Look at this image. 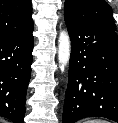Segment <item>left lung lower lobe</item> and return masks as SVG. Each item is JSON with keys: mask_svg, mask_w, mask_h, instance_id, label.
<instances>
[{"mask_svg": "<svg viewBox=\"0 0 118 123\" xmlns=\"http://www.w3.org/2000/svg\"><path fill=\"white\" fill-rule=\"evenodd\" d=\"M71 40L63 123L87 117L118 122V35L65 18Z\"/></svg>", "mask_w": 118, "mask_h": 123, "instance_id": "left-lung-lower-lobe-1", "label": "left lung lower lobe"}]
</instances>
